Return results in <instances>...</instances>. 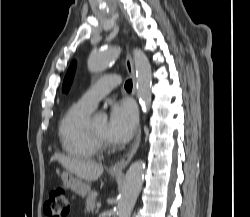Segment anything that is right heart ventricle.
<instances>
[{
  "label": "right heart ventricle",
  "instance_id": "1",
  "mask_svg": "<svg viewBox=\"0 0 250 217\" xmlns=\"http://www.w3.org/2000/svg\"><path fill=\"white\" fill-rule=\"evenodd\" d=\"M92 110L79 100L72 103L62 116L58 136L66 154L76 158H92L98 153L87 131Z\"/></svg>",
  "mask_w": 250,
  "mask_h": 217
}]
</instances>
